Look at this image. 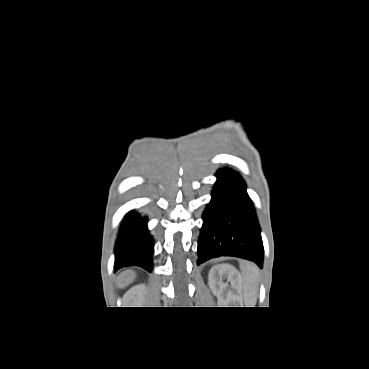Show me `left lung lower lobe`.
<instances>
[{
    "label": "left lung lower lobe",
    "instance_id": "left-lung-lower-lobe-1",
    "mask_svg": "<svg viewBox=\"0 0 369 369\" xmlns=\"http://www.w3.org/2000/svg\"><path fill=\"white\" fill-rule=\"evenodd\" d=\"M211 201L203 213L198 260L235 256L263 262V243L253 204L241 176L231 169L217 171Z\"/></svg>",
    "mask_w": 369,
    "mask_h": 369
}]
</instances>
